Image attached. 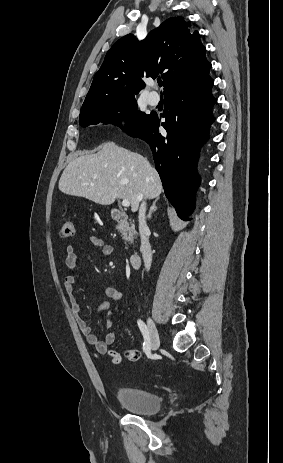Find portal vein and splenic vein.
I'll return each mask as SVG.
<instances>
[{
	"instance_id": "1",
	"label": "portal vein and splenic vein",
	"mask_w": 283,
	"mask_h": 463,
	"mask_svg": "<svg viewBox=\"0 0 283 463\" xmlns=\"http://www.w3.org/2000/svg\"><path fill=\"white\" fill-rule=\"evenodd\" d=\"M122 205H123L124 207H129V206H130L129 200L123 199V200H122Z\"/></svg>"
}]
</instances>
